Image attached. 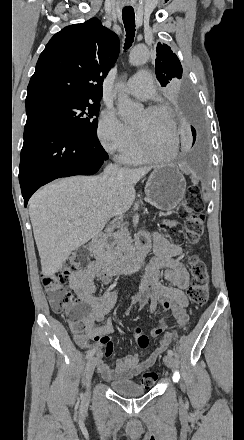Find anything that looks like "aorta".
<instances>
[{
    "instance_id": "1",
    "label": "aorta",
    "mask_w": 244,
    "mask_h": 440,
    "mask_svg": "<svg viewBox=\"0 0 244 440\" xmlns=\"http://www.w3.org/2000/svg\"><path fill=\"white\" fill-rule=\"evenodd\" d=\"M149 58V51L146 47L138 46L135 47L129 55V62L132 65H141L145 63ZM118 89L122 88V84H118ZM118 112L123 120L127 124H131L137 120L141 111L142 105L140 103L131 100L128 95L124 93L118 94L117 101Z\"/></svg>"
}]
</instances>
